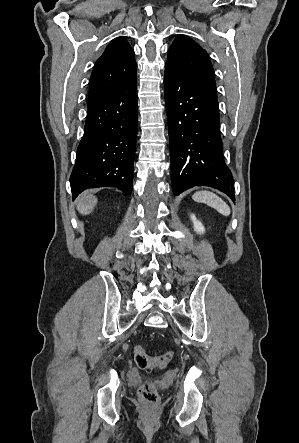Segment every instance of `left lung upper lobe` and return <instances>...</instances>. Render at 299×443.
<instances>
[{"instance_id": "5c2ea615", "label": "left lung upper lobe", "mask_w": 299, "mask_h": 443, "mask_svg": "<svg viewBox=\"0 0 299 443\" xmlns=\"http://www.w3.org/2000/svg\"><path fill=\"white\" fill-rule=\"evenodd\" d=\"M166 65L188 81L217 97L214 70L206 51L185 35L172 43Z\"/></svg>"}]
</instances>
